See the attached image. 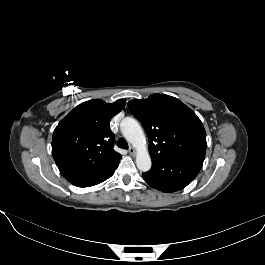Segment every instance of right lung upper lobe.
Segmentation results:
<instances>
[{
    "mask_svg": "<svg viewBox=\"0 0 265 265\" xmlns=\"http://www.w3.org/2000/svg\"><path fill=\"white\" fill-rule=\"evenodd\" d=\"M125 104V99L112 104L99 99L86 101L59 122L53 133L52 154L60 171L108 167L121 159L113 149L109 123Z\"/></svg>",
    "mask_w": 265,
    "mask_h": 265,
    "instance_id": "obj_1",
    "label": "right lung upper lobe"
}]
</instances>
